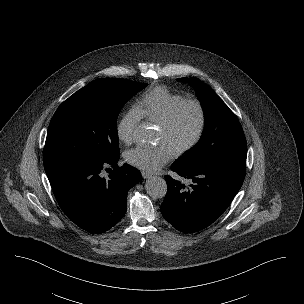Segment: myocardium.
I'll return each instance as SVG.
<instances>
[{
  "label": "myocardium",
  "mask_w": 304,
  "mask_h": 304,
  "mask_svg": "<svg viewBox=\"0 0 304 304\" xmlns=\"http://www.w3.org/2000/svg\"><path fill=\"white\" fill-rule=\"evenodd\" d=\"M189 105L193 106L197 111L198 124H197L196 131H195L194 135L192 136V138L185 144H183L175 149V153L177 155L187 153L188 151L192 150L195 146H197L198 143L201 141V139L204 135V132L206 129V123H207L206 110H205L203 103L196 98H184L181 101H179L177 104H175L170 109V111L167 113L165 118L159 123V127L163 131L169 132L172 129L180 111L184 107L189 106Z\"/></svg>",
  "instance_id": "myocardium-1"
}]
</instances>
